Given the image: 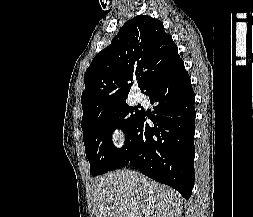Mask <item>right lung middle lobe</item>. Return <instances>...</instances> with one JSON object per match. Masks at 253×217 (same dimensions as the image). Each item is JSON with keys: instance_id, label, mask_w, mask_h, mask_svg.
Returning a JSON list of instances; mask_svg holds the SVG:
<instances>
[{"instance_id": "right-lung-middle-lobe-1", "label": "right lung middle lobe", "mask_w": 253, "mask_h": 217, "mask_svg": "<svg viewBox=\"0 0 253 217\" xmlns=\"http://www.w3.org/2000/svg\"><path fill=\"white\" fill-rule=\"evenodd\" d=\"M141 112L123 102L82 124L86 156L93 176L113 169L121 149L113 145L111 135L114 129L120 128L127 138Z\"/></svg>"}]
</instances>
